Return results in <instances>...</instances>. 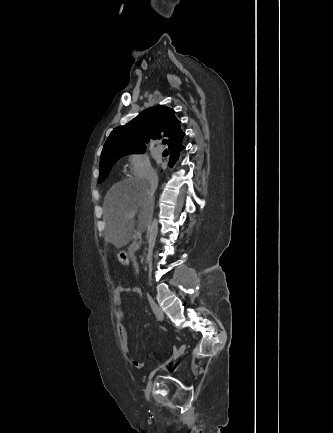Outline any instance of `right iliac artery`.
I'll return each mask as SVG.
<instances>
[{"label":"right iliac artery","mask_w":333,"mask_h":433,"mask_svg":"<svg viewBox=\"0 0 333 433\" xmlns=\"http://www.w3.org/2000/svg\"><path fill=\"white\" fill-rule=\"evenodd\" d=\"M184 350H185V348H182V349H181V352H183ZM177 352H178V351H177L176 347L174 346V347H173V355H172V357H171L169 360H167L164 364L160 365V366H159L157 369H155L153 372H151L150 375H149V377H148V379L150 380V379L154 376L155 372H156L159 368L164 367V366L167 365L170 361H172L173 358H176ZM150 391H151V390L148 389V388H146V390H145V396H146L147 399H149Z\"/></svg>","instance_id":"obj_1"}]
</instances>
